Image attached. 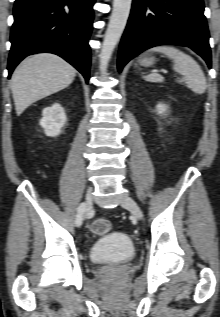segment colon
Returning a JSON list of instances; mask_svg holds the SVG:
<instances>
[{"instance_id": "1", "label": "colon", "mask_w": 220, "mask_h": 317, "mask_svg": "<svg viewBox=\"0 0 220 317\" xmlns=\"http://www.w3.org/2000/svg\"><path fill=\"white\" fill-rule=\"evenodd\" d=\"M110 227V222L102 218L94 220L91 225L92 232L97 235L106 234L107 232H109Z\"/></svg>"}]
</instances>
